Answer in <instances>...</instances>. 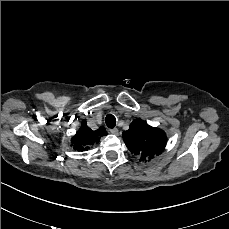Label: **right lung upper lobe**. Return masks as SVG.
<instances>
[{
    "label": "right lung upper lobe",
    "mask_w": 229,
    "mask_h": 229,
    "mask_svg": "<svg viewBox=\"0 0 229 229\" xmlns=\"http://www.w3.org/2000/svg\"><path fill=\"white\" fill-rule=\"evenodd\" d=\"M107 135L105 128L102 126L98 130H91L86 121L82 122L80 129L77 131L76 135L72 137L71 142L75 150L83 151L89 149L90 145L98 143L101 136Z\"/></svg>",
    "instance_id": "right-lung-upper-lobe-1"
}]
</instances>
